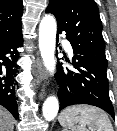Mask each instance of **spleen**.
Here are the masks:
<instances>
[{
  "instance_id": "spleen-1",
  "label": "spleen",
  "mask_w": 117,
  "mask_h": 131,
  "mask_svg": "<svg viewBox=\"0 0 117 131\" xmlns=\"http://www.w3.org/2000/svg\"><path fill=\"white\" fill-rule=\"evenodd\" d=\"M58 121L71 131H113L108 115L101 109L90 105H74L61 112ZM78 123L77 126H74ZM86 125L89 129H86Z\"/></svg>"
}]
</instances>
